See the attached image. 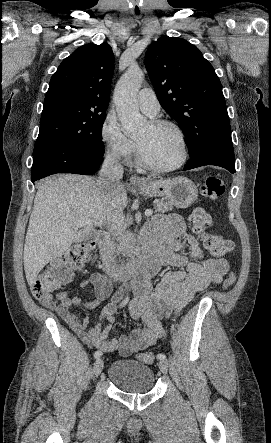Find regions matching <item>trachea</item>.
I'll return each mask as SVG.
<instances>
[{"mask_svg": "<svg viewBox=\"0 0 271 443\" xmlns=\"http://www.w3.org/2000/svg\"><path fill=\"white\" fill-rule=\"evenodd\" d=\"M134 14H135V16H137V17H138V16H140V14H141V13H140V11H138V10H137V11H135V13H134Z\"/></svg>", "mask_w": 271, "mask_h": 443, "instance_id": "obj_1", "label": "trachea"}]
</instances>
